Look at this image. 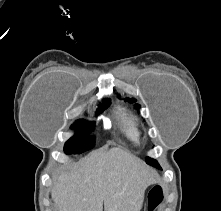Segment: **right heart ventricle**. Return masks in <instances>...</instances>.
Listing matches in <instances>:
<instances>
[{
    "instance_id": "obj_1",
    "label": "right heart ventricle",
    "mask_w": 221,
    "mask_h": 211,
    "mask_svg": "<svg viewBox=\"0 0 221 211\" xmlns=\"http://www.w3.org/2000/svg\"><path fill=\"white\" fill-rule=\"evenodd\" d=\"M122 133L133 143L140 141V130L136 118L129 112L122 110L119 113Z\"/></svg>"
}]
</instances>
